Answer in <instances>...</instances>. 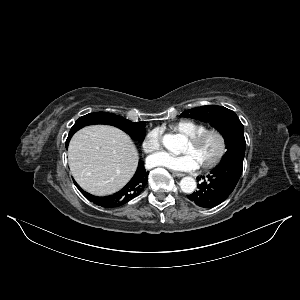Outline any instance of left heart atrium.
Returning a JSON list of instances; mask_svg holds the SVG:
<instances>
[{
  "label": "left heart atrium",
  "instance_id": "left-heart-atrium-1",
  "mask_svg": "<svg viewBox=\"0 0 300 300\" xmlns=\"http://www.w3.org/2000/svg\"><path fill=\"white\" fill-rule=\"evenodd\" d=\"M148 164L152 167H165L173 171H192L199 166L190 153L174 156L165 152L150 156Z\"/></svg>",
  "mask_w": 300,
  "mask_h": 300
}]
</instances>
